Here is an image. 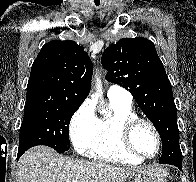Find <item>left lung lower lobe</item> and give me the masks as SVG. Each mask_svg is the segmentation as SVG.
<instances>
[{
  "instance_id": "obj_1",
  "label": "left lung lower lobe",
  "mask_w": 196,
  "mask_h": 182,
  "mask_svg": "<svg viewBox=\"0 0 196 182\" xmlns=\"http://www.w3.org/2000/svg\"><path fill=\"white\" fill-rule=\"evenodd\" d=\"M159 163H168L177 166L181 169L182 159H180V154L172 147L162 146V156Z\"/></svg>"
}]
</instances>
